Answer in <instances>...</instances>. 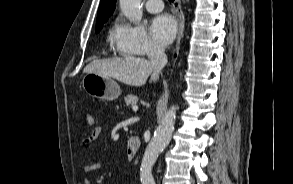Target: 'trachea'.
I'll return each instance as SVG.
<instances>
[{
    "instance_id": "obj_1",
    "label": "trachea",
    "mask_w": 293,
    "mask_h": 184,
    "mask_svg": "<svg viewBox=\"0 0 293 184\" xmlns=\"http://www.w3.org/2000/svg\"><path fill=\"white\" fill-rule=\"evenodd\" d=\"M170 2H173L174 0H169Z\"/></svg>"
}]
</instances>
